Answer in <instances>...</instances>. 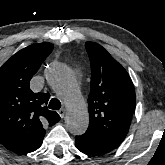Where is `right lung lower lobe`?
I'll list each match as a JSON object with an SVG mask.
<instances>
[{"mask_svg": "<svg viewBox=\"0 0 165 165\" xmlns=\"http://www.w3.org/2000/svg\"><path fill=\"white\" fill-rule=\"evenodd\" d=\"M42 141H43V139L40 142H38L35 145H33L32 147H30L28 150H26L23 153H29V152L35 151L36 149H38L40 147Z\"/></svg>", "mask_w": 165, "mask_h": 165, "instance_id": "obj_1", "label": "right lung lower lobe"}]
</instances>
